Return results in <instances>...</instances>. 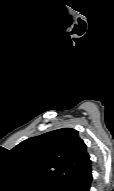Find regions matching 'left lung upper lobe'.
<instances>
[{
    "mask_svg": "<svg viewBox=\"0 0 114 191\" xmlns=\"http://www.w3.org/2000/svg\"><path fill=\"white\" fill-rule=\"evenodd\" d=\"M10 151L28 175L53 191H62L90 160L85 143L72 128L31 137Z\"/></svg>",
    "mask_w": 114,
    "mask_h": 191,
    "instance_id": "obj_1",
    "label": "left lung upper lobe"
}]
</instances>
